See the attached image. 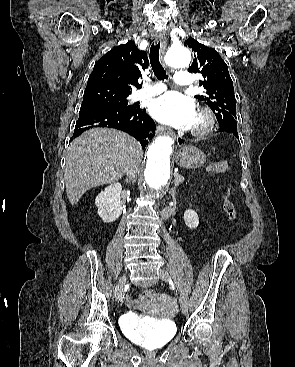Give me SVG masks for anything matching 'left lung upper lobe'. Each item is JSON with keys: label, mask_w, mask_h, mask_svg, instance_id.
Here are the masks:
<instances>
[{"label": "left lung upper lobe", "mask_w": 295, "mask_h": 367, "mask_svg": "<svg viewBox=\"0 0 295 367\" xmlns=\"http://www.w3.org/2000/svg\"><path fill=\"white\" fill-rule=\"evenodd\" d=\"M184 45L191 48L195 56L188 71L200 73L203 77L199 86L204 87L205 95H197L195 98L210 107L219 126L237 127L236 99L227 64L215 49L200 44L192 37L185 40Z\"/></svg>", "instance_id": "obj_1"}]
</instances>
